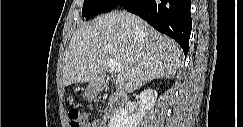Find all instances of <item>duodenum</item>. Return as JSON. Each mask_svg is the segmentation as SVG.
<instances>
[{"instance_id": "duodenum-1", "label": "duodenum", "mask_w": 243, "mask_h": 127, "mask_svg": "<svg viewBox=\"0 0 243 127\" xmlns=\"http://www.w3.org/2000/svg\"><path fill=\"white\" fill-rule=\"evenodd\" d=\"M98 87H106L105 81L103 80L98 84ZM127 101V96L121 90H114L109 96V113L110 115L115 114Z\"/></svg>"}]
</instances>
